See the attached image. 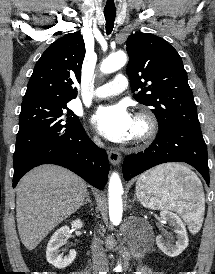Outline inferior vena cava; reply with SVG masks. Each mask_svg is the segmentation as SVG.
Returning a JSON list of instances; mask_svg holds the SVG:
<instances>
[{"label":"inferior vena cava","mask_w":215,"mask_h":274,"mask_svg":"<svg viewBox=\"0 0 215 274\" xmlns=\"http://www.w3.org/2000/svg\"><path fill=\"white\" fill-rule=\"evenodd\" d=\"M95 143L98 146H103V143L98 138H95ZM92 260L94 271H106L108 269V262L105 251L101 247V244L97 238H95L92 243Z\"/></svg>","instance_id":"1"}]
</instances>
